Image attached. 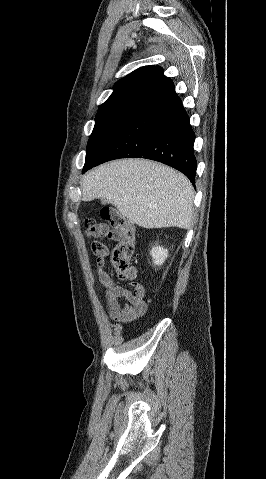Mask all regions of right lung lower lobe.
Instances as JSON below:
<instances>
[{
	"label": "right lung lower lobe",
	"mask_w": 266,
	"mask_h": 479,
	"mask_svg": "<svg viewBox=\"0 0 266 479\" xmlns=\"http://www.w3.org/2000/svg\"><path fill=\"white\" fill-rule=\"evenodd\" d=\"M194 139L188 115L173 90L139 111L88 169L118 158H146L181 171L194 185L197 169Z\"/></svg>",
	"instance_id": "right-lung-lower-lobe-1"
}]
</instances>
